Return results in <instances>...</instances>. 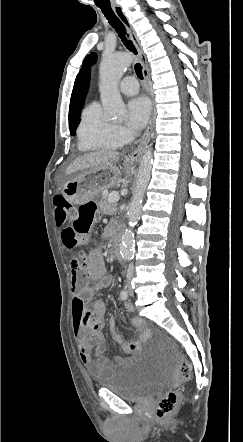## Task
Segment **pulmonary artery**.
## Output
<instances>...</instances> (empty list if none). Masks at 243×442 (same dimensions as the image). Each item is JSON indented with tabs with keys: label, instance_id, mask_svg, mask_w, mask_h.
<instances>
[{
	"label": "pulmonary artery",
	"instance_id": "obj_1",
	"mask_svg": "<svg viewBox=\"0 0 243 442\" xmlns=\"http://www.w3.org/2000/svg\"><path fill=\"white\" fill-rule=\"evenodd\" d=\"M120 90L125 95H134L138 92V82L136 78L128 76L120 82Z\"/></svg>",
	"mask_w": 243,
	"mask_h": 442
}]
</instances>
